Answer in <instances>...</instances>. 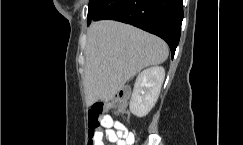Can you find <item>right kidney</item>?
I'll list each match as a JSON object with an SVG mask.
<instances>
[{
  "instance_id": "obj_1",
  "label": "right kidney",
  "mask_w": 243,
  "mask_h": 145,
  "mask_svg": "<svg viewBox=\"0 0 243 145\" xmlns=\"http://www.w3.org/2000/svg\"><path fill=\"white\" fill-rule=\"evenodd\" d=\"M165 78V70L154 66L143 70L137 76L129 108L137 117L146 116L155 105Z\"/></svg>"
}]
</instances>
